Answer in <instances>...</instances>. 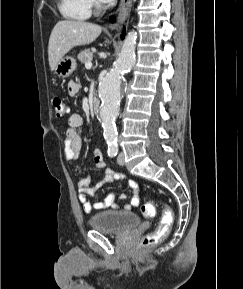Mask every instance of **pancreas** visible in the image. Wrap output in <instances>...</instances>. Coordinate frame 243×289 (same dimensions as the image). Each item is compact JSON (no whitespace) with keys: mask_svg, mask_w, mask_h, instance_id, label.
<instances>
[{"mask_svg":"<svg viewBox=\"0 0 243 289\" xmlns=\"http://www.w3.org/2000/svg\"><path fill=\"white\" fill-rule=\"evenodd\" d=\"M77 58L81 63H86L92 61L93 53L89 49H85L78 54Z\"/></svg>","mask_w":243,"mask_h":289,"instance_id":"1","label":"pancreas"}]
</instances>
